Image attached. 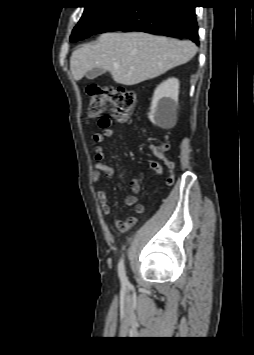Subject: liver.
Segmentation results:
<instances>
[{
  "label": "liver",
  "instance_id": "6515ba94",
  "mask_svg": "<svg viewBox=\"0 0 254 355\" xmlns=\"http://www.w3.org/2000/svg\"><path fill=\"white\" fill-rule=\"evenodd\" d=\"M197 52L188 40L153 36L142 32L104 33L96 43L86 44L70 57L76 81L95 67L111 73L116 83L135 85L187 63Z\"/></svg>",
  "mask_w": 254,
  "mask_h": 355
}]
</instances>
